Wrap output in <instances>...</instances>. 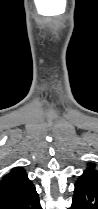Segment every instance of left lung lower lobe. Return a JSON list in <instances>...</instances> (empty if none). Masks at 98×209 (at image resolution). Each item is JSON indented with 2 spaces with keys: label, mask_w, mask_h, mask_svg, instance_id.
Listing matches in <instances>:
<instances>
[{
  "label": "left lung lower lobe",
  "mask_w": 98,
  "mask_h": 209,
  "mask_svg": "<svg viewBox=\"0 0 98 209\" xmlns=\"http://www.w3.org/2000/svg\"><path fill=\"white\" fill-rule=\"evenodd\" d=\"M70 209H98V184L90 180L78 179Z\"/></svg>",
  "instance_id": "obj_1"
}]
</instances>
